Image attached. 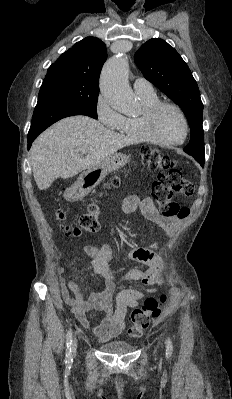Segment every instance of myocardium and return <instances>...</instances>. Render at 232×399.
Returning a JSON list of instances; mask_svg holds the SVG:
<instances>
[{
    "instance_id": "obj_1",
    "label": "myocardium",
    "mask_w": 232,
    "mask_h": 399,
    "mask_svg": "<svg viewBox=\"0 0 232 399\" xmlns=\"http://www.w3.org/2000/svg\"><path fill=\"white\" fill-rule=\"evenodd\" d=\"M165 107H170L173 108L181 117L184 126H185V136L181 141H171L164 139L161 137L155 128V119L158 115V113ZM141 121L143 124V127L146 131V133L151 137L153 140L156 142L162 144V145H168V146H174V145H181L185 143V141L188 139L189 133H190V127L188 120L186 118V115L184 114L183 110L177 106L176 104L169 103V102H160L158 104H155L153 106H150L146 108L142 114Z\"/></svg>"
}]
</instances>
